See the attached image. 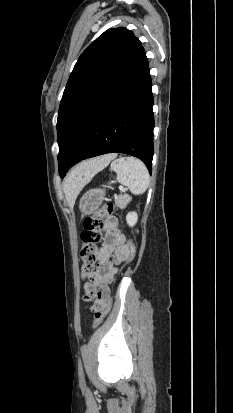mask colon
Listing matches in <instances>:
<instances>
[{
  "instance_id": "colon-1",
  "label": "colon",
  "mask_w": 233,
  "mask_h": 413,
  "mask_svg": "<svg viewBox=\"0 0 233 413\" xmlns=\"http://www.w3.org/2000/svg\"><path fill=\"white\" fill-rule=\"evenodd\" d=\"M114 211V204L111 201L106 202L93 215L84 220V228L80 234L82 246L80 257L83 261L82 274L85 277H91L94 273L95 263L97 260V244L101 241L102 231L106 228L105 218L111 216ZM135 255V247L131 242L127 243L125 263H129ZM108 300V299H107ZM112 306V299L108 300L105 305L98 304L92 306L95 311L93 328H97L103 322Z\"/></svg>"
}]
</instances>
